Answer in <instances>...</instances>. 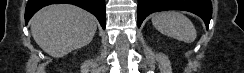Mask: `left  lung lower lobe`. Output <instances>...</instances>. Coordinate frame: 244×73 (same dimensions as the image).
<instances>
[{"label":"left lung lower lobe","instance_id":"0a47b994","mask_svg":"<svg viewBox=\"0 0 244 73\" xmlns=\"http://www.w3.org/2000/svg\"><path fill=\"white\" fill-rule=\"evenodd\" d=\"M165 10H183L200 16L208 27L212 16L210 0H138V27L151 13Z\"/></svg>","mask_w":244,"mask_h":73}]
</instances>
